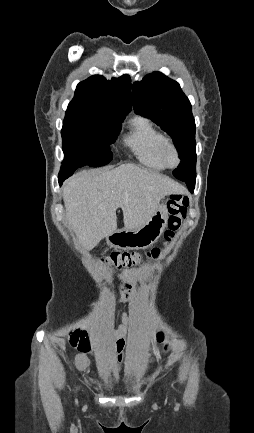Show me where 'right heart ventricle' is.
I'll use <instances>...</instances> for the list:
<instances>
[{
    "label": "right heart ventricle",
    "mask_w": 254,
    "mask_h": 433,
    "mask_svg": "<svg viewBox=\"0 0 254 433\" xmlns=\"http://www.w3.org/2000/svg\"><path fill=\"white\" fill-rule=\"evenodd\" d=\"M164 138L147 118L135 117L125 143L143 166L160 171L166 168L158 156V147Z\"/></svg>",
    "instance_id": "e07e8e85"
}]
</instances>
